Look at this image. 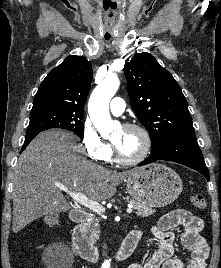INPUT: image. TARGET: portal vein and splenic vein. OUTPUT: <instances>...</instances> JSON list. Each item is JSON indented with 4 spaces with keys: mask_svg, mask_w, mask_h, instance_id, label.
<instances>
[{
    "mask_svg": "<svg viewBox=\"0 0 221 268\" xmlns=\"http://www.w3.org/2000/svg\"><path fill=\"white\" fill-rule=\"evenodd\" d=\"M56 186L60 190L67 192L73 200H75L79 204L91 209L92 211H94L96 213H103L105 211V208L100 203H98L97 201H94L92 199H89L88 197H86L82 193L70 191L67 187L60 185V184H56ZM132 208H133V206L129 205L128 209H127V213H132V211H133Z\"/></svg>",
    "mask_w": 221,
    "mask_h": 268,
    "instance_id": "1",
    "label": "portal vein and splenic vein"
}]
</instances>
